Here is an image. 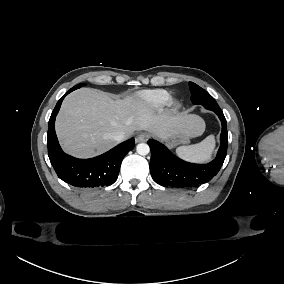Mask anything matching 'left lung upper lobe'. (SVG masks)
Segmentation results:
<instances>
[{"mask_svg":"<svg viewBox=\"0 0 284 284\" xmlns=\"http://www.w3.org/2000/svg\"><path fill=\"white\" fill-rule=\"evenodd\" d=\"M189 87L191 91V101L193 104H203L206 102H216L215 99L200 86L193 82H189Z\"/></svg>","mask_w":284,"mask_h":284,"instance_id":"obj_1","label":"left lung upper lobe"}]
</instances>
